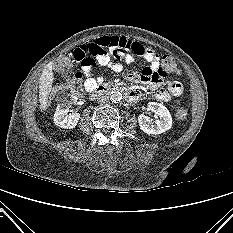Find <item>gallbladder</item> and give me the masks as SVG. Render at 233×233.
I'll return each mask as SVG.
<instances>
[{
  "instance_id": "obj_1",
  "label": "gallbladder",
  "mask_w": 233,
  "mask_h": 233,
  "mask_svg": "<svg viewBox=\"0 0 233 233\" xmlns=\"http://www.w3.org/2000/svg\"><path fill=\"white\" fill-rule=\"evenodd\" d=\"M60 73L63 75H66L67 74V71L65 70V68H61L60 69Z\"/></svg>"
}]
</instances>
